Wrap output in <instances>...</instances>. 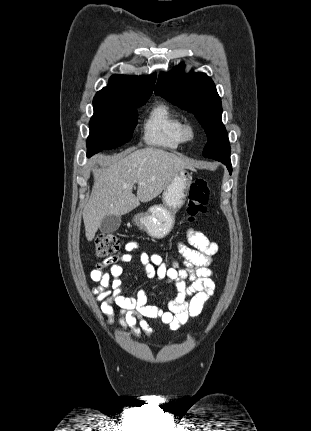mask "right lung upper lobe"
Masks as SVG:
<instances>
[{
    "mask_svg": "<svg viewBox=\"0 0 311 431\" xmlns=\"http://www.w3.org/2000/svg\"><path fill=\"white\" fill-rule=\"evenodd\" d=\"M156 74L151 76L113 75L109 86L96 93V96L107 97H150L153 91Z\"/></svg>",
    "mask_w": 311,
    "mask_h": 431,
    "instance_id": "right-lung-upper-lobe-1",
    "label": "right lung upper lobe"
}]
</instances>
